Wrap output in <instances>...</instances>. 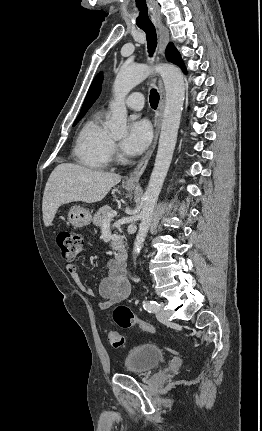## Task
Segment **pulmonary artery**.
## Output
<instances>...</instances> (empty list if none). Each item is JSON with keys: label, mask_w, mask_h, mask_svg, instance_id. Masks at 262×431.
<instances>
[{"label": "pulmonary artery", "mask_w": 262, "mask_h": 431, "mask_svg": "<svg viewBox=\"0 0 262 431\" xmlns=\"http://www.w3.org/2000/svg\"><path fill=\"white\" fill-rule=\"evenodd\" d=\"M125 105L135 111H140L144 107V95L140 92L130 94L126 100Z\"/></svg>", "instance_id": "1"}]
</instances>
